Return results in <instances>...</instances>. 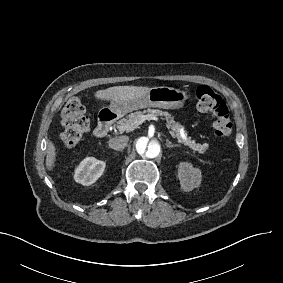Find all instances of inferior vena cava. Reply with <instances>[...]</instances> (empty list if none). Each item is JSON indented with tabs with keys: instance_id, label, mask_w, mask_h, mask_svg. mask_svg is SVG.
<instances>
[{
	"instance_id": "1",
	"label": "inferior vena cava",
	"mask_w": 283,
	"mask_h": 283,
	"mask_svg": "<svg viewBox=\"0 0 283 283\" xmlns=\"http://www.w3.org/2000/svg\"><path fill=\"white\" fill-rule=\"evenodd\" d=\"M127 142H128V137L125 136L114 137L109 140V147L116 151H120L126 147Z\"/></svg>"
}]
</instances>
